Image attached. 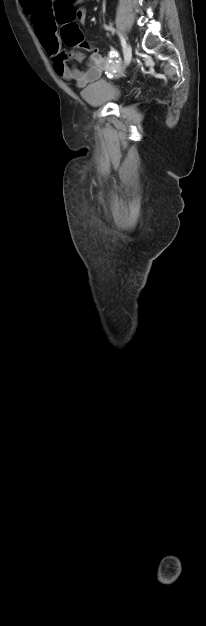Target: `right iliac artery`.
I'll return each mask as SVG.
<instances>
[{"label":"right iliac artery","instance_id":"82829eb1","mask_svg":"<svg viewBox=\"0 0 206 626\" xmlns=\"http://www.w3.org/2000/svg\"><path fill=\"white\" fill-rule=\"evenodd\" d=\"M105 28L108 29V30H111L112 32H115V30L112 27L105 26ZM120 39H121V45H122L123 49H125L126 41H125V39L122 36L120 37Z\"/></svg>","mask_w":206,"mask_h":626}]
</instances>
